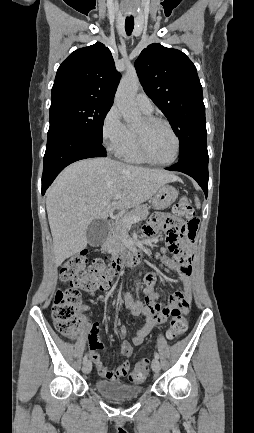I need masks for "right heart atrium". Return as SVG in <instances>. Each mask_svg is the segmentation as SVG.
I'll return each instance as SVG.
<instances>
[{
	"label": "right heart atrium",
	"mask_w": 254,
	"mask_h": 433,
	"mask_svg": "<svg viewBox=\"0 0 254 433\" xmlns=\"http://www.w3.org/2000/svg\"><path fill=\"white\" fill-rule=\"evenodd\" d=\"M101 138L105 148L115 155L120 154L130 138V130L116 106H112L103 118Z\"/></svg>",
	"instance_id": "d8ad5b80"
}]
</instances>
